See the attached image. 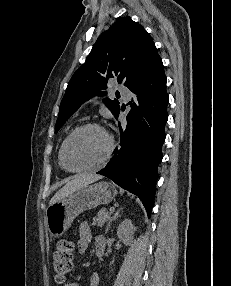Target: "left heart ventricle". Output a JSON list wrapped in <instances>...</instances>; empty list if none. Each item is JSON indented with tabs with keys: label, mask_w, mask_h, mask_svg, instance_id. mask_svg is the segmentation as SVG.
I'll list each match as a JSON object with an SVG mask.
<instances>
[{
	"label": "left heart ventricle",
	"mask_w": 231,
	"mask_h": 286,
	"mask_svg": "<svg viewBox=\"0 0 231 286\" xmlns=\"http://www.w3.org/2000/svg\"><path fill=\"white\" fill-rule=\"evenodd\" d=\"M108 139L99 130L88 128L78 132L68 143L66 165L77 169L99 161L107 152Z\"/></svg>",
	"instance_id": "left-heart-ventricle-1"
}]
</instances>
